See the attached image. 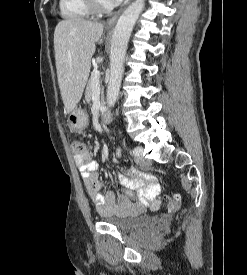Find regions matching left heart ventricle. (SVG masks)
Listing matches in <instances>:
<instances>
[{
  "label": "left heart ventricle",
  "instance_id": "b2bd125f",
  "mask_svg": "<svg viewBox=\"0 0 247 275\" xmlns=\"http://www.w3.org/2000/svg\"><path fill=\"white\" fill-rule=\"evenodd\" d=\"M101 4L105 5V6H110L111 2L110 0H99Z\"/></svg>",
  "mask_w": 247,
  "mask_h": 275
}]
</instances>
